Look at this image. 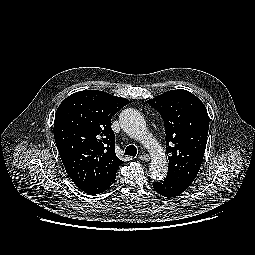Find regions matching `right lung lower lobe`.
Returning <instances> with one entry per match:
<instances>
[{
	"instance_id": "98d812e1",
	"label": "right lung lower lobe",
	"mask_w": 255,
	"mask_h": 255,
	"mask_svg": "<svg viewBox=\"0 0 255 255\" xmlns=\"http://www.w3.org/2000/svg\"><path fill=\"white\" fill-rule=\"evenodd\" d=\"M115 177H113L112 179H110L102 184H96V185L80 187V188L78 187V188L87 194L95 195V194L103 193L105 190H107L114 183Z\"/></svg>"
}]
</instances>
